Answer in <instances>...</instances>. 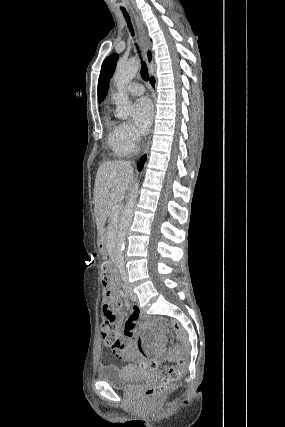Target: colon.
Instances as JSON below:
<instances>
[{"instance_id": "obj_1", "label": "colon", "mask_w": 285, "mask_h": 427, "mask_svg": "<svg viewBox=\"0 0 285 427\" xmlns=\"http://www.w3.org/2000/svg\"><path fill=\"white\" fill-rule=\"evenodd\" d=\"M101 274L103 287L105 289L104 308L107 311L106 322L102 324V338L106 348L115 353L122 349L118 327L115 325L113 316V311L115 309V286L110 279V267L108 265L102 266ZM169 322L176 332L179 334L182 332V329L177 322L170 320ZM168 358L172 361V363L168 366L166 373L161 376L160 382L155 385H150L145 389V400L149 403L158 402L163 394L168 391L171 383L178 379L181 375L185 361L181 357L180 346H173L169 351ZM139 364L143 368H148L152 371H157L159 367L158 362L153 357L143 359L139 362Z\"/></svg>"}]
</instances>
